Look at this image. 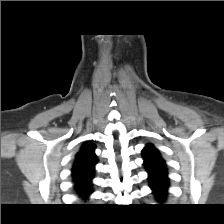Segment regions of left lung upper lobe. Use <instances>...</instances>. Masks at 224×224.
Instances as JSON below:
<instances>
[{"label": "left lung upper lobe", "mask_w": 224, "mask_h": 224, "mask_svg": "<svg viewBox=\"0 0 224 224\" xmlns=\"http://www.w3.org/2000/svg\"><path fill=\"white\" fill-rule=\"evenodd\" d=\"M144 165L148 171H166V163L161 158L159 151L152 145L147 144L142 151Z\"/></svg>", "instance_id": "obj_1"}]
</instances>
